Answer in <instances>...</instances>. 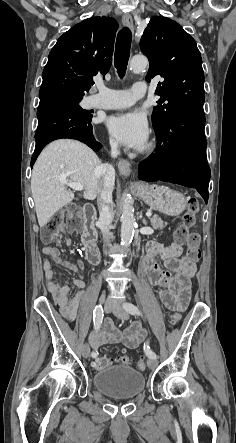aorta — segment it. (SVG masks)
Segmentation results:
<instances>
[{
	"instance_id": "762f6f07",
	"label": "aorta",
	"mask_w": 236,
	"mask_h": 443,
	"mask_svg": "<svg viewBox=\"0 0 236 443\" xmlns=\"http://www.w3.org/2000/svg\"><path fill=\"white\" fill-rule=\"evenodd\" d=\"M148 65V60L144 56H134L130 61V68L133 72L139 73ZM121 244L129 246L134 234L135 218L134 209L129 194H123V207L121 216Z\"/></svg>"
}]
</instances>
